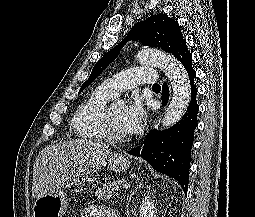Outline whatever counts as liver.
Masks as SVG:
<instances>
[{
	"mask_svg": "<svg viewBox=\"0 0 255 217\" xmlns=\"http://www.w3.org/2000/svg\"><path fill=\"white\" fill-rule=\"evenodd\" d=\"M110 154L106 143L83 139L45 147L33 168L32 196L53 194L71 181L96 173Z\"/></svg>",
	"mask_w": 255,
	"mask_h": 217,
	"instance_id": "liver-1",
	"label": "liver"
}]
</instances>
